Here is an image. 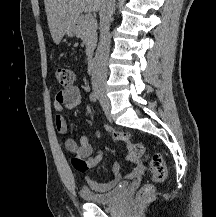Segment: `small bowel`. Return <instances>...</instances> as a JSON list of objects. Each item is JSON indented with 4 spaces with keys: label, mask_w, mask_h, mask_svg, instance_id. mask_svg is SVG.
<instances>
[{
    "label": "small bowel",
    "mask_w": 216,
    "mask_h": 217,
    "mask_svg": "<svg viewBox=\"0 0 216 217\" xmlns=\"http://www.w3.org/2000/svg\"><path fill=\"white\" fill-rule=\"evenodd\" d=\"M81 100V91L76 86H73L70 89L60 90L55 94L53 101L54 109L56 111L55 126L59 133L66 134L68 132V124L62 114L63 109L76 108L81 103ZM65 147L70 152L85 158L88 161L89 169L96 167L104 157V151L102 149H100L97 154H92V146L89 138L87 137H81L79 141H76L73 138H67L65 140ZM142 170L143 165L140 162H135L131 170L128 172L127 177L135 178L142 172ZM113 173V178L104 182L87 177L85 179L86 186L89 189L98 192L109 190L113 188L121 179L118 165L114 166Z\"/></svg>",
    "instance_id": "1"
}]
</instances>
